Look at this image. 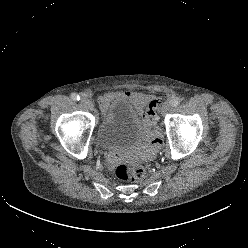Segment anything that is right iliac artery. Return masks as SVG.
Here are the masks:
<instances>
[{
  "instance_id": "1",
  "label": "right iliac artery",
  "mask_w": 248,
  "mask_h": 248,
  "mask_svg": "<svg viewBox=\"0 0 248 248\" xmlns=\"http://www.w3.org/2000/svg\"><path fill=\"white\" fill-rule=\"evenodd\" d=\"M71 99L74 100V101H78L80 100V96L76 93H72L71 94Z\"/></svg>"
}]
</instances>
